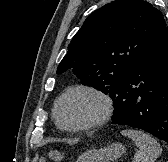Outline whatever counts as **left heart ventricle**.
Segmentation results:
<instances>
[{
    "label": "left heart ventricle",
    "instance_id": "1",
    "mask_svg": "<svg viewBox=\"0 0 168 162\" xmlns=\"http://www.w3.org/2000/svg\"><path fill=\"white\" fill-rule=\"evenodd\" d=\"M101 105L93 96L85 93L72 94L61 103L59 117L67 126H76L95 118Z\"/></svg>",
    "mask_w": 168,
    "mask_h": 162
}]
</instances>
